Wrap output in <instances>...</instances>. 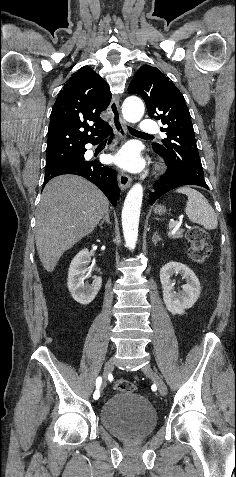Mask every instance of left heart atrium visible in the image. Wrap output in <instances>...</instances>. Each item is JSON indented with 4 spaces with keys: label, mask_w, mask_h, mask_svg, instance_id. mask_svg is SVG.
<instances>
[{
    "label": "left heart atrium",
    "mask_w": 236,
    "mask_h": 477,
    "mask_svg": "<svg viewBox=\"0 0 236 477\" xmlns=\"http://www.w3.org/2000/svg\"><path fill=\"white\" fill-rule=\"evenodd\" d=\"M111 159L117 166L128 171H138L143 166V160L133 146H125Z\"/></svg>",
    "instance_id": "1"
}]
</instances>
